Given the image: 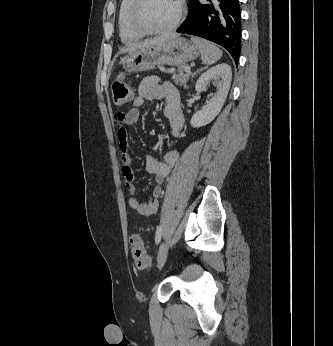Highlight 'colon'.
Returning a JSON list of instances; mask_svg holds the SVG:
<instances>
[{"instance_id":"5ec220e1","label":"colon","mask_w":333,"mask_h":346,"mask_svg":"<svg viewBox=\"0 0 333 346\" xmlns=\"http://www.w3.org/2000/svg\"><path fill=\"white\" fill-rule=\"evenodd\" d=\"M112 95L114 103L117 106L127 105L131 99V87L129 83L122 77L115 79L112 83ZM117 115L123 117V113H118ZM131 253L138 268L148 269L151 267V260L146 252L145 244L139 235L135 234L131 236Z\"/></svg>"}]
</instances>
